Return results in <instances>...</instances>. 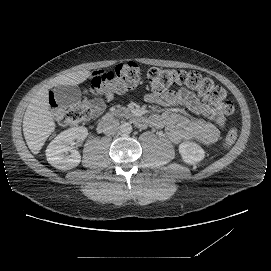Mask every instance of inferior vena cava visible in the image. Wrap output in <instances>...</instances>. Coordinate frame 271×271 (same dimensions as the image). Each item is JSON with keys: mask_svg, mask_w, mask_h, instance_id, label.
I'll list each match as a JSON object with an SVG mask.
<instances>
[{"mask_svg": "<svg viewBox=\"0 0 271 271\" xmlns=\"http://www.w3.org/2000/svg\"><path fill=\"white\" fill-rule=\"evenodd\" d=\"M119 121L110 114L105 115L100 123V127L103 133L106 135H112L119 129Z\"/></svg>", "mask_w": 271, "mask_h": 271, "instance_id": "1", "label": "inferior vena cava"}]
</instances>
